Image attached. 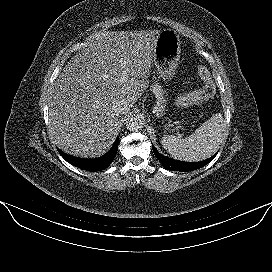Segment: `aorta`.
<instances>
[{"instance_id":"aorta-1","label":"aorta","mask_w":272,"mask_h":272,"mask_svg":"<svg viewBox=\"0 0 272 272\" xmlns=\"http://www.w3.org/2000/svg\"><path fill=\"white\" fill-rule=\"evenodd\" d=\"M126 128L129 131H139L143 128V122L140 118L138 117H131L127 122H126Z\"/></svg>"}]
</instances>
